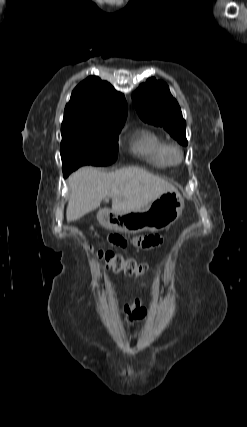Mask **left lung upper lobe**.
Returning <instances> with one entry per match:
<instances>
[{
  "instance_id": "1",
  "label": "left lung upper lobe",
  "mask_w": 247,
  "mask_h": 427,
  "mask_svg": "<svg viewBox=\"0 0 247 427\" xmlns=\"http://www.w3.org/2000/svg\"><path fill=\"white\" fill-rule=\"evenodd\" d=\"M132 99L143 121L164 127L180 144L187 145L186 122L167 84L150 78L140 85Z\"/></svg>"
}]
</instances>
